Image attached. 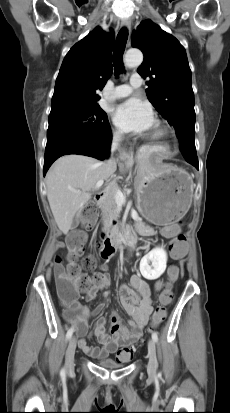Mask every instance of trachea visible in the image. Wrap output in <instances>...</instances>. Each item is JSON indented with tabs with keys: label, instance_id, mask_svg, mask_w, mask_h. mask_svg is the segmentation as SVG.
<instances>
[{
	"label": "trachea",
	"instance_id": "3493384b",
	"mask_svg": "<svg viewBox=\"0 0 230 413\" xmlns=\"http://www.w3.org/2000/svg\"><path fill=\"white\" fill-rule=\"evenodd\" d=\"M127 37L128 32L127 29L124 27L120 30V32L117 35L113 51V65L116 75H119L124 71L123 54L126 46Z\"/></svg>",
	"mask_w": 230,
	"mask_h": 413
}]
</instances>
